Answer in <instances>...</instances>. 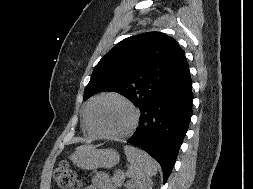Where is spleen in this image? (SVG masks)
I'll return each instance as SVG.
<instances>
[{
	"mask_svg": "<svg viewBox=\"0 0 253 189\" xmlns=\"http://www.w3.org/2000/svg\"><path fill=\"white\" fill-rule=\"evenodd\" d=\"M124 152L130 163L126 176L136 180H145L157 174V162L145 151L125 145Z\"/></svg>",
	"mask_w": 253,
	"mask_h": 189,
	"instance_id": "obj_1",
	"label": "spleen"
}]
</instances>
